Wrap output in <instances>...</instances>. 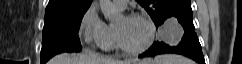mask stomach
<instances>
[{
    "instance_id": "1",
    "label": "stomach",
    "mask_w": 242,
    "mask_h": 64,
    "mask_svg": "<svg viewBox=\"0 0 242 64\" xmlns=\"http://www.w3.org/2000/svg\"><path fill=\"white\" fill-rule=\"evenodd\" d=\"M147 64H155L153 61L151 63H147Z\"/></svg>"
}]
</instances>
